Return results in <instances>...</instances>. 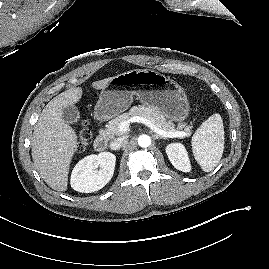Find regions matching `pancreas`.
<instances>
[{"mask_svg":"<svg viewBox=\"0 0 269 269\" xmlns=\"http://www.w3.org/2000/svg\"><path fill=\"white\" fill-rule=\"evenodd\" d=\"M134 116H142L147 118L149 121L154 123L158 128L165 131H174V125L171 121H167L166 118L160 114V112L150 106L138 105L133 106L129 112L123 113L108 122L106 128V136L108 138H113L114 136H120L123 133L119 131L118 126L121 122L129 120ZM182 125L179 126L181 128ZM188 130V128H186ZM188 135L190 133H187Z\"/></svg>","mask_w":269,"mask_h":269,"instance_id":"cf45deb5","label":"pancreas"}]
</instances>
